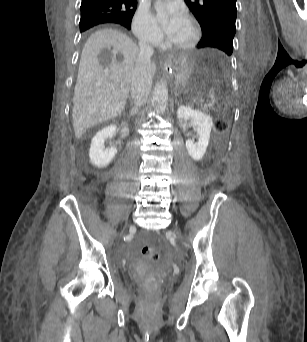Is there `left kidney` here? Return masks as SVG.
I'll list each match as a JSON object with an SVG mask.
<instances>
[{
  "mask_svg": "<svg viewBox=\"0 0 307 342\" xmlns=\"http://www.w3.org/2000/svg\"><path fill=\"white\" fill-rule=\"evenodd\" d=\"M177 118L181 120H190L193 130H196L198 142L194 140H186V150L196 162L202 160L210 140V132L213 128V120L208 114L200 112V110H192L189 106H179L177 110Z\"/></svg>",
  "mask_w": 307,
  "mask_h": 342,
  "instance_id": "5707ae66",
  "label": "left kidney"
}]
</instances>
